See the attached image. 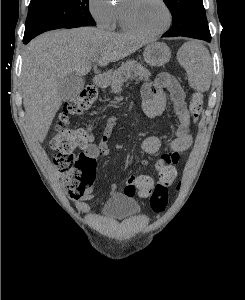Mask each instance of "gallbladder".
<instances>
[{
    "mask_svg": "<svg viewBox=\"0 0 245 300\" xmlns=\"http://www.w3.org/2000/svg\"><path fill=\"white\" fill-rule=\"evenodd\" d=\"M84 78L76 74H71L58 80V93L63 101L75 99L84 87Z\"/></svg>",
    "mask_w": 245,
    "mask_h": 300,
    "instance_id": "obj_1",
    "label": "gallbladder"
}]
</instances>
